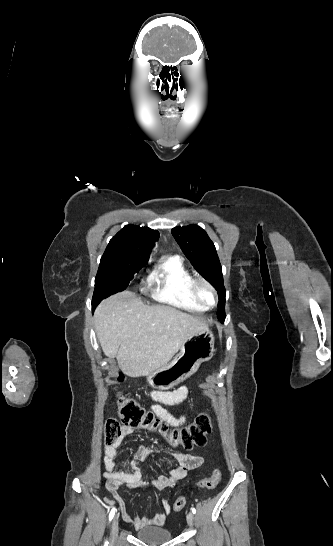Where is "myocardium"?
<instances>
[{"mask_svg": "<svg viewBox=\"0 0 333 546\" xmlns=\"http://www.w3.org/2000/svg\"><path fill=\"white\" fill-rule=\"evenodd\" d=\"M199 285H203L205 287H207L209 290H211V292L213 293V302L211 304L205 302L201 296L199 295L198 293V286ZM188 289H189V292L192 296V298L197 302L199 303L200 305H202L203 307L209 309V308H213L217 305L218 303V293H217V290L216 288L213 286V284L208 281L206 278L204 277H200V276H197V277H192V279L190 280L189 282V286H188Z\"/></svg>", "mask_w": 333, "mask_h": 546, "instance_id": "obj_1", "label": "myocardium"}]
</instances>
